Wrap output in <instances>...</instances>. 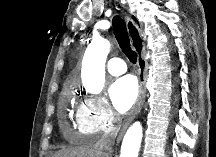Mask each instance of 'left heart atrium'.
Masks as SVG:
<instances>
[{"mask_svg":"<svg viewBox=\"0 0 216 157\" xmlns=\"http://www.w3.org/2000/svg\"><path fill=\"white\" fill-rule=\"evenodd\" d=\"M113 106L119 113H125L134 105L138 96V85L132 76L114 81L109 88Z\"/></svg>","mask_w":216,"mask_h":157,"instance_id":"obj_1","label":"left heart atrium"}]
</instances>
